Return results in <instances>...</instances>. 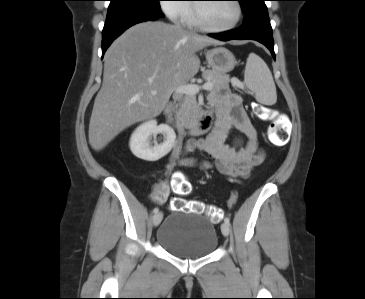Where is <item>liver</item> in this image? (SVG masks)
I'll return each mask as SVG.
<instances>
[{"label":"liver","instance_id":"1","mask_svg":"<svg viewBox=\"0 0 365 299\" xmlns=\"http://www.w3.org/2000/svg\"><path fill=\"white\" fill-rule=\"evenodd\" d=\"M222 42L178 25L139 23L107 50L103 83L89 123V143L102 150L127 127L158 116L170 96L199 71L196 52ZM156 91L155 95L151 92Z\"/></svg>","mask_w":365,"mask_h":299}]
</instances>
